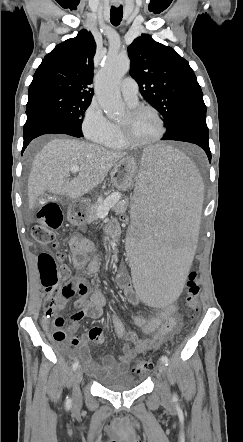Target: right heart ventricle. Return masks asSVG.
Here are the masks:
<instances>
[{
	"label": "right heart ventricle",
	"instance_id": "obj_1",
	"mask_svg": "<svg viewBox=\"0 0 243 442\" xmlns=\"http://www.w3.org/2000/svg\"><path fill=\"white\" fill-rule=\"evenodd\" d=\"M101 143L107 147L116 148V149H123L127 147L121 140L118 124H112L111 133Z\"/></svg>",
	"mask_w": 243,
	"mask_h": 442
}]
</instances>
